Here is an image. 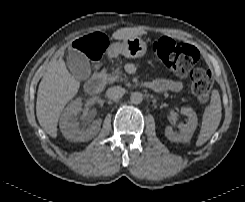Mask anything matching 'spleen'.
I'll return each mask as SVG.
<instances>
[{
    "label": "spleen",
    "mask_w": 245,
    "mask_h": 202,
    "mask_svg": "<svg viewBox=\"0 0 245 202\" xmlns=\"http://www.w3.org/2000/svg\"><path fill=\"white\" fill-rule=\"evenodd\" d=\"M221 98L217 90L212 91L210 104L205 108L202 117L200 134L196 146L203 145L216 131L221 120Z\"/></svg>",
    "instance_id": "3e777b00"
}]
</instances>
